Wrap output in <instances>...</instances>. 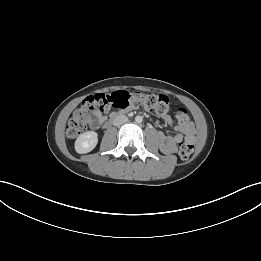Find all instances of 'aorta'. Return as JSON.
<instances>
[{
  "instance_id": "aorta-1",
  "label": "aorta",
  "mask_w": 261,
  "mask_h": 261,
  "mask_svg": "<svg viewBox=\"0 0 261 261\" xmlns=\"http://www.w3.org/2000/svg\"><path fill=\"white\" fill-rule=\"evenodd\" d=\"M135 121H136L137 123H141V122L143 121V117H141V116H136V117H135Z\"/></svg>"
}]
</instances>
